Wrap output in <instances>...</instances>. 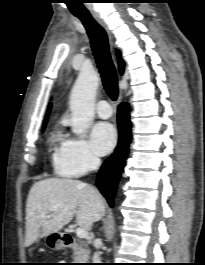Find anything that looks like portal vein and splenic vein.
<instances>
[{
    "instance_id": "18ae733b",
    "label": "portal vein and splenic vein",
    "mask_w": 205,
    "mask_h": 265,
    "mask_svg": "<svg viewBox=\"0 0 205 265\" xmlns=\"http://www.w3.org/2000/svg\"><path fill=\"white\" fill-rule=\"evenodd\" d=\"M76 235L79 238H86L88 236V232L84 228H77L76 229Z\"/></svg>"
}]
</instances>
